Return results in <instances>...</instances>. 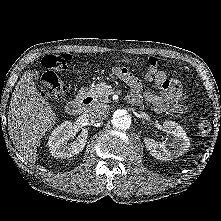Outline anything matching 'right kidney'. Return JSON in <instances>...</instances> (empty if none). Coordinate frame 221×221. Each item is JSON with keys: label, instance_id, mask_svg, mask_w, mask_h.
Instances as JSON below:
<instances>
[{"label": "right kidney", "instance_id": "1", "mask_svg": "<svg viewBox=\"0 0 221 221\" xmlns=\"http://www.w3.org/2000/svg\"><path fill=\"white\" fill-rule=\"evenodd\" d=\"M75 128L70 121H64L58 125L49 136L48 146L52 156L68 158L79 154L85 147L88 130L82 129L77 140L71 144L68 141L76 134Z\"/></svg>", "mask_w": 221, "mask_h": 221}]
</instances>
